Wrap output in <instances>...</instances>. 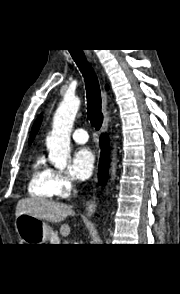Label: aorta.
I'll return each instance as SVG.
<instances>
[{"instance_id":"762f6f07","label":"aorta","mask_w":180,"mask_h":294,"mask_svg":"<svg viewBox=\"0 0 180 294\" xmlns=\"http://www.w3.org/2000/svg\"><path fill=\"white\" fill-rule=\"evenodd\" d=\"M79 107L78 97H65L56 110L51 134L46 139L49 159L59 169H64L70 158V134ZM112 175H115V163Z\"/></svg>"}]
</instances>
